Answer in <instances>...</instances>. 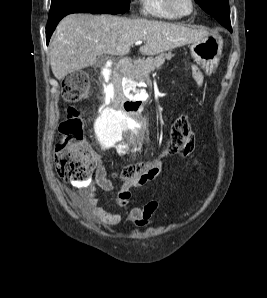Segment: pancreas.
<instances>
[{
    "label": "pancreas",
    "instance_id": "cf45deb5",
    "mask_svg": "<svg viewBox=\"0 0 267 298\" xmlns=\"http://www.w3.org/2000/svg\"><path fill=\"white\" fill-rule=\"evenodd\" d=\"M171 56V53H161L155 58L149 57L147 59L137 60L131 67L128 77L137 81L145 79L149 76L151 71L160 68L165 59L170 58Z\"/></svg>",
    "mask_w": 267,
    "mask_h": 298
}]
</instances>
